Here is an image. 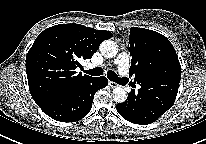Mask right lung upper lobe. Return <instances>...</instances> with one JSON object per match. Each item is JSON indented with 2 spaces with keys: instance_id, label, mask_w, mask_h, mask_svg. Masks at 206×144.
<instances>
[{
  "instance_id": "right-lung-upper-lobe-1",
  "label": "right lung upper lobe",
  "mask_w": 206,
  "mask_h": 144,
  "mask_svg": "<svg viewBox=\"0 0 206 144\" xmlns=\"http://www.w3.org/2000/svg\"><path fill=\"white\" fill-rule=\"evenodd\" d=\"M113 36L80 24H60L45 29L26 56L30 93L39 107L77 91L93 77L76 74L82 60L91 59L105 39Z\"/></svg>"
}]
</instances>
